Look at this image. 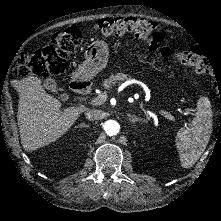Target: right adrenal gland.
<instances>
[{
	"label": "right adrenal gland",
	"mask_w": 221,
	"mask_h": 221,
	"mask_svg": "<svg viewBox=\"0 0 221 221\" xmlns=\"http://www.w3.org/2000/svg\"><path fill=\"white\" fill-rule=\"evenodd\" d=\"M81 126H84V127H86L87 125H86V124H82Z\"/></svg>",
	"instance_id": "1"
}]
</instances>
